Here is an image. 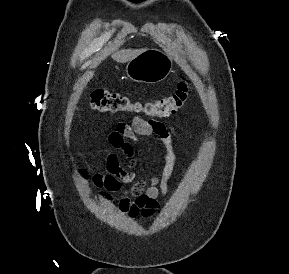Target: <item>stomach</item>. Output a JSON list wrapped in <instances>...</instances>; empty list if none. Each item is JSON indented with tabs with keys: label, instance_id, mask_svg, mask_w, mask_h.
<instances>
[{
	"label": "stomach",
	"instance_id": "1",
	"mask_svg": "<svg viewBox=\"0 0 289 274\" xmlns=\"http://www.w3.org/2000/svg\"><path fill=\"white\" fill-rule=\"evenodd\" d=\"M172 68L173 61L168 53L151 48L130 60L126 66V73L132 81L154 84L166 79Z\"/></svg>",
	"mask_w": 289,
	"mask_h": 274
}]
</instances>
